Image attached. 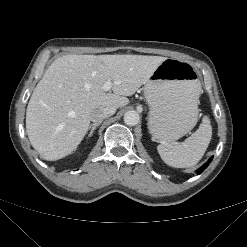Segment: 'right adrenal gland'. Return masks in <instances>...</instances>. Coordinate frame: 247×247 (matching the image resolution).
<instances>
[{
    "label": "right adrenal gland",
    "mask_w": 247,
    "mask_h": 247,
    "mask_svg": "<svg viewBox=\"0 0 247 247\" xmlns=\"http://www.w3.org/2000/svg\"><path fill=\"white\" fill-rule=\"evenodd\" d=\"M100 124H101V123H93V124H91V125L89 126L90 132H89V134H88V137H91V136H92L94 130H95L96 127H98Z\"/></svg>",
    "instance_id": "obj_1"
}]
</instances>
